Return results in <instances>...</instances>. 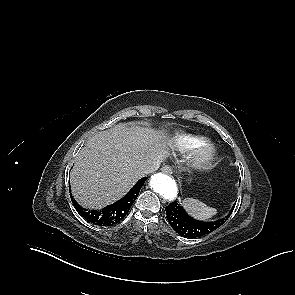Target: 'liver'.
Listing matches in <instances>:
<instances>
[{
	"label": "liver",
	"instance_id": "1",
	"mask_svg": "<svg viewBox=\"0 0 295 295\" xmlns=\"http://www.w3.org/2000/svg\"><path fill=\"white\" fill-rule=\"evenodd\" d=\"M172 141L163 131L117 124L92 136L80 150L70 175L74 198L85 208L101 209L123 197L143 176L141 170L160 164Z\"/></svg>",
	"mask_w": 295,
	"mask_h": 295
}]
</instances>
